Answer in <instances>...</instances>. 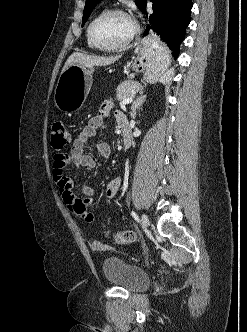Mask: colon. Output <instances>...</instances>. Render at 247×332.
<instances>
[{
  "instance_id": "1",
  "label": "colon",
  "mask_w": 247,
  "mask_h": 332,
  "mask_svg": "<svg viewBox=\"0 0 247 332\" xmlns=\"http://www.w3.org/2000/svg\"><path fill=\"white\" fill-rule=\"evenodd\" d=\"M51 145L56 150H61L70 142V133L62 121H55L51 125ZM113 239L118 244L132 243L137 239V235L132 230L119 231L113 234Z\"/></svg>"
}]
</instances>
